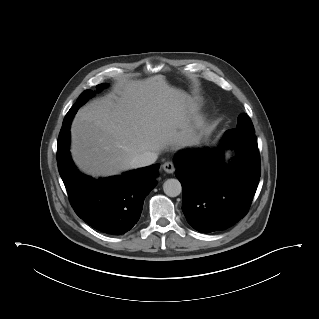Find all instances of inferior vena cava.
I'll return each mask as SVG.
<instances>
[{"label":"inferior vena cava","instance_id":"602c4592","mask_svg":"<svg viewBox=\"0 0 319 319\" xmlns=\"http://www.w3.org/2000/svg\"><path fill=\"white\" fill-rule=\"evenodd\" d=\"M157 160V154L152 152H146L137 155L130 161V168L136 169L153 164Z\"/></svg>","mask_w":319,"mask_h":319}]
</instances>
